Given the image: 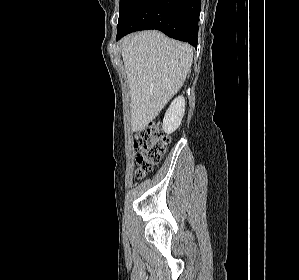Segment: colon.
I'll return each mask as SVG.
<instances>
[{
	"label": "colon",
	"instance_id": "5ec220e1",
	"mask_svg": "<svg viewBox=\"0 0 299 280\" xmlns=\"http://www.w3.org/2000/svg\"><path fill=\"white\" fill-rule=\"evenodd\" d=\"M168 144L169 137L159 121L150 122L137 133L134 150L139 178L144 177L159 163Z\"/></svg>",
	"mask_w": 299,
	"mask_h": 280
}]
</instances>
